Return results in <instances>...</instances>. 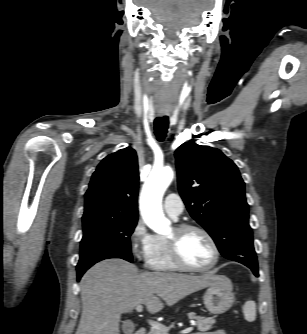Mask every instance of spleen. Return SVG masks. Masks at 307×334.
<instances>
[{
	"label": "spleen",
	"instance_id": "1",
	"mask_svg": "<svg viewBox=\"0 0 307 334\" xmlns=\"http://www.w3.org/2000/svg\"><path fill=\"white\" fill-rule=\"evenodd\" d=\"M243 312L245 319L249 322H253L256 319V303L252 300L246 301Z\"/></svg>",
	"mask_w": 307,
	"mask_h": 334
}]
</instances>
